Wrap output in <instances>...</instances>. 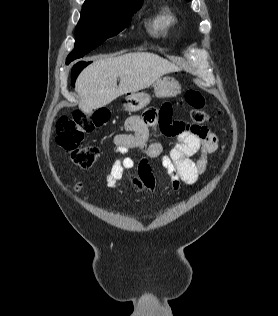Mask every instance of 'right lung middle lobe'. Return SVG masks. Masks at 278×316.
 Instances as JSON below:
<instances>
[{
    "mask_svg": "<svg viewBox=\"0 0 278 316\" xmlns=\"http://www.w3.org/2000/svg\"><path fill=\"white\" fill-rule=\"evenodd\" d=\"M141 5L142 1L115 5L83 4L75 30V47L68 55L66 64L84 56L106 39L123 31Z\"/></svg>",
    "mask_w": 278,
    "mask_h": 316,
    "instance_id": "obj_1",
    "label": "right lung middle lobe"
}]
</instances>
